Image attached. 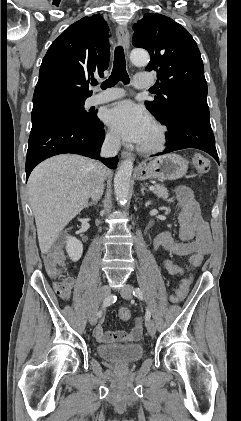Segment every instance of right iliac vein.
<instances>
[{
  "label": "right iliac vein",
  "mask_w": 241,
  "mask_h": 421,
  "mask_svg": "<svg viewBox=\"0 0 241 421\" xmlns=\"http://www.w3.org/2000/svg\"><path fill=\"white\" fill-rule=\"evenodd\" d=\"M109 294H110V288L107 285L101 287V289L99 290L97 304L89 316V322L91 325H95L97 323L98 304L102 302L103 300H105L109 296Z\"/></svg>",
  "instance_id": "right-iliac-vein-1"
}]
</instances>
